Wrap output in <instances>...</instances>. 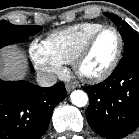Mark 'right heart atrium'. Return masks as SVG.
Masks as SVG:
<instances>
[{"mask_svg":"<svg viewBox=\"0 0 139 139\" xmlns=\"http://www.w3.org/2000/svg\"><path fill=\"white\" fill-rule=\"evenodd\" d=\"M29 52L35 67L40 72L48 75H61L64 73L63 63L50 53L44 42L34 41L30 45Z\"/></svg>","mask_w":139,"mask_h":139,"instance_id":"right-heart-atrium-1","label":"right heart atrium"}]
</instances>
